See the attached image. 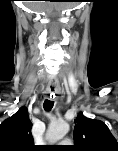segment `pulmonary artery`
<instances>
[{"label": "pulmonary artery", "instance_id": "e3ab8cb5", "mask_svg": "<svg viewBox=\"0 0 118 151\" xmlns=\"http://www.w3.org/2000/svg\"><path fill=\"white\" fill-rule=\"evenodd\" d=\"M71 140L70 139H65L61 142V144H70Z\"/></svg>", "mask_w": 118, "mask_h": 151}]
</instances>
